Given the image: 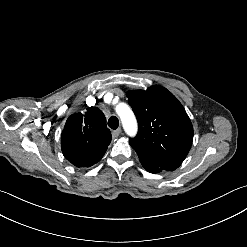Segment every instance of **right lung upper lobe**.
<instances>
[{
	"label": "right lung upper lobe",
	"mask_w": 247,
	"mask_h": 247,
	"mask_svg": "<svg viewBox=\"0 0 247 247\" xmlns=\"http://www.w3.org/2000/svg\"><path fill=\"white\" fill-rule=\"evenodd\" d=\"M111 142L106 118L97 107L71 115L61 135L63 155L76 167H90L99 162Z\"/></svg>",
	"instance_id": "1"
}]
</instances>
